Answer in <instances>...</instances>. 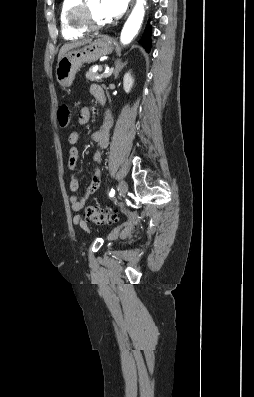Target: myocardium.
<instances>
[{"label":"myocardium","instance_id":"1","mask_svg":"<svg viewBox=\"0 0 254 397\" xmlns=\"http://www.w3.org/2000/svg\"><path fill=\"white\" fill-rule=\"evenodd\" d=\"M87 0H80L70 12V21L78 29L86 32L98 31L105 28L107 23L95 22L90 14Z\"/></svg>","mask_w":254,"mask_h":397}]
</instances>
